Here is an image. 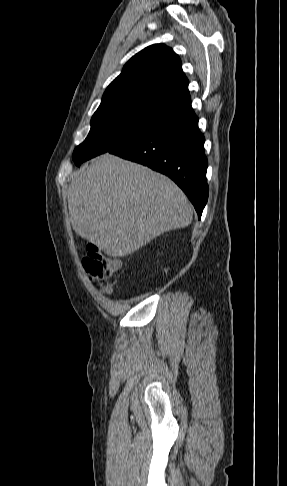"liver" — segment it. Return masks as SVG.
Wrapping results in <instances>:
<instances>
[{
	"instance_id": "6515ba94",
	"label": "liver",
	"mask_w": 287,
	"mask_h": 486,
	"mask_svg": "<svg viewBox=\"0 0 287 486\" xmlns=\"http://www.w3.org/2000/svg\"><path fill=\"white\" fill-rule=\"evenodd\" d=\"M74 231L111 257H124L164 232L190 225L193 209L168 177L105 153L73 174Z\"/></svg>"
}]
</instances>
